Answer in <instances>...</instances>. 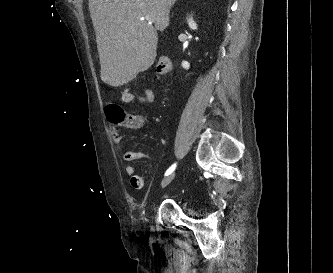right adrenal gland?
<instances>
[{
	"mask_svg": "<svg viewBox=\"0 0 333 273\" xmlns=\"http://www.w3.org/2000/svg\"><path fill=\"white\" fill-rule=\"evenodd\" d=\"M176 0L173 1L172 5L175 3Z\"/></svg>",
	"mask_w": 333,
	"mask_h": 273,
	"instance_id": "right-adrenal-gland-1",
	"label": "right adrenal gland"
}]
</instances>
